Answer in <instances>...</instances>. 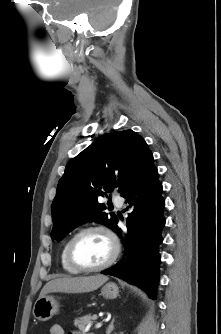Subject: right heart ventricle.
Returning <instances> with one entry per match:
<instances>
[{
  "instance_id": "obj_1",
  "label": "right heart ventricle",
  "mask_w": 221,
  "mask_h": 334,
  "mask_svg": "<svg viewBox=\"0 0 221 334\" xmlns=\"http://www.w3.org/2000/svg\"><path fill=\"white\" fill-rule=\"evenodd\" d=\"M69 240H67L63 247H62V250H61V254H60V260H61V265H62V268L68 272V273H71V274H77L79 273L80 271L76 270L75 268H73L67 261V257H66V249H67V244H68Z\"/></svg>"
}]
</instances>
